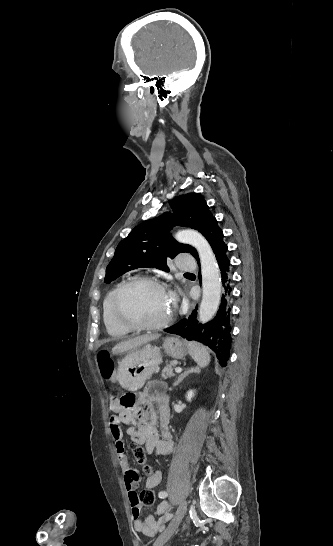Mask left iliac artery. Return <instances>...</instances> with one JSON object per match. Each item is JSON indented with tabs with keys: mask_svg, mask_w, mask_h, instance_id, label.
<instances>
[{
	"mask_svg": "<svg viewBox=\"0 0 333 546\" xmlns=\"http://www.w3.org/2000/svg\"><path fill=\"white\" fill-rule=\"evenodd\" d=\"M163 496H167V493H164ZM170 517H171V515H170Z\"/></svg>",
	"mask_w": 333,
	"mask_h": 546,
	"instance_id": "left-iliac-artery-1",
	"label": "left iliac artery"
}]
</instances>
